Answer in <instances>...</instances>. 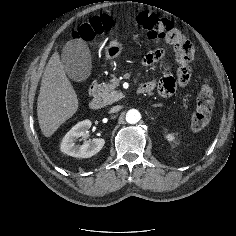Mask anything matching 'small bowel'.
<instances>
[{
	"mask_svg": "<svg viewBox=\"0 0 236 236\" xmlns=\"http://www.w3.org/2000/svg\"><path fill=\"white\" fill-rule=\"evenodd\" d=\"M176 50L177 63L179 65L176 77L168 72L170 69V63L165 58V53L163 50L156 49L145 56L143 60L144 65L151 66L155 63H161L163 69L166 71V73L158 81H150L143 85V87L148 90V93L154 89H157L158 93L162 97H169L175 92L178 86H185L190 81L191 62L194 57L193 46L185 38V43L180 49L176 48ZM184 76L188 77V82L186 84L182 83V78Z\"/></svg>",
	"mask_w": 236,
	"mask_h": 236,
	"instance_id": "obj_1",
	"label": "small bowel"
}]
</instances>
